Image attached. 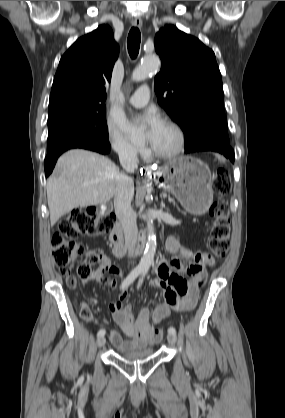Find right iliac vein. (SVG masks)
<instances>
[{
	"instance_id": "obj_1",
	"label": "right iliac vein",
	"mask_w": 285,
	"mask_h": 418,
	"mask_svg": "<svg viewBox=\"0 0 285 418\" xmlns=\"http://www.w3.org/2000/svg\"><path fill=\"white\" fill-rule=\"evenodd\" d=\"M106 339L104 336H100L97 340V347H102L105 345Z\"/></svg>"
}]
</instances>
